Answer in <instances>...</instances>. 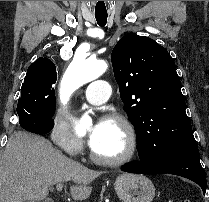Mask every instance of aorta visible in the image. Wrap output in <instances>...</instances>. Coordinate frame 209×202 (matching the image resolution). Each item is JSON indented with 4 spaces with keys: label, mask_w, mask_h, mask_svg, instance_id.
Returning <instances> with one entry per match:
<instances>
[{
    "label": "aorta",
    "mask_w": 209,
    "mask_h": 202,
    "mask_svg": "<svg viewBox=\"0 0 209 202\" xmlns=\"http://www.w3.org/2000/svg\"><path fill=\"white\" fill-rule=\"evenodd\" d=\"M108 68L104 60L86 59L80 55H75L63 76L60 86L61 99L67 100L69 95L87 82L99 78ZM77 133H84L86 128L92 123L88 115L81 119L70 118Z\"/></svg>",
    "instance_id": "762f6f07"
}]
</instances>
